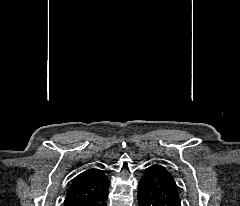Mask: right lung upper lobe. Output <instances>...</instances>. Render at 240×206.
I'll use <instances>...</instances> for the list:
<instances>
[{
  "mask_svg": "<svg viewBox=\"0 0 240 206\" xmlns=\"http://www.w3.org/2000/svg\"><path fill=\"white\" fill-rule=\"evenodd\" d=\"M109 186V181L100 169L91 168L76 176L64 202V206H78L95 197Z\"/></svg>",
  "mask_w": 240,
  "mask_h": 206,
  "instance_id": "right-lung-upper-lobe-1",
  "label": "right lung upper lobe"
}]
</instances>
